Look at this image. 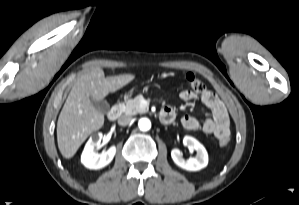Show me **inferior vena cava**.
<instances>
[{"mask_svg":"<svg viewBox=\"0 0 299 205\" xmlns=\"http://www.w3.org/2000/svg\"><path fill=\"white\" fill-rule=\"evenodd\" d=\"M132 121V117L128 115H122L118 119V124L121 126H126Z\"/></svg>","mask_w":299,"mask_h":205,"instance_id":"602c4592","label":"inferior vena cava"}]
</instances>
